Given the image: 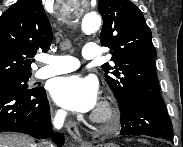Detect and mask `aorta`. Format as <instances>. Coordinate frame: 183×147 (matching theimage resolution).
Segmentation results:
<instances>
[{
  "label": "aorta",
  "instance_id": "obj_1",
  "mask_svg": "<svg viewBox=\"0 0 183 147\" xmlns=\"http://www.w3.org/2000/svg\"><path fill=\"white\" fill-rule=\"evenodd\" d=\"M100 26L101 17L97 13H87L81 22V28L85 34H91L97 31Z\"/></svg>",
  "mask_w": 183,
  "mask_h": 147
}]
</instances>
